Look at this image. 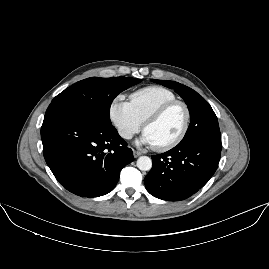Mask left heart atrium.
I'll use <instances>...</instances> for the list:
<instances>
[{
	"instance_id": "39dd6f15",
	"label": "left heart atrium",
	"mask_w": 269,
	"mask_h": 269,
	"mask_svg": "<svg viewBox=\"0 0 269 269\" xmlns=\"http://www.w3.org/2000/svg\"><path fill=\"white\" fill-rule=\"evenodd\" d=\"M141 143H145V144H149V145H153L152 141L150 140V138L148 137L147 134H144L140 140Z\"/></svg>"
}]
</instances>
